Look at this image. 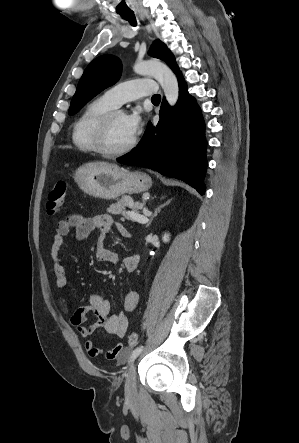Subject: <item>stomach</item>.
<instances>
[{"mask_svg": "<svg viewBox=\"0 0 299 443\" xmlns=\"http://www.w3.org/2000/svg\"><path fill=\"white\" fill-rule=\"evenodd\" d=\"M74 180L86 194L108 200L145 192L152 186L151 178L143 172H129L103 162L81 166L75 172Z\"/></svg>", "mask_w": 299, "mask_h": 443, "instance_id": "stomach-1", "label": "stomach"}]
</instances>
